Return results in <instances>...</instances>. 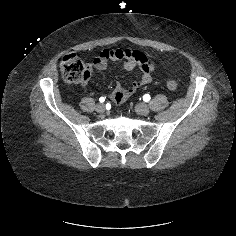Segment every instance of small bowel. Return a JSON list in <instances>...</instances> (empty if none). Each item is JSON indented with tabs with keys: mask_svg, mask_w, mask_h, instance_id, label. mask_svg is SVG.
<instances>
[{
	"mask_svg": "<svg viewBox=\"0 0 236 236\" xmlns=\"http://www.w3.org/2000/svg\"><path fill=\"white\" fill-rule=\"evenodd\" d=\"M109 61H122V68L126 71H130L137 66L141 72L140 76L127 88L123 87L120 83L116 84L111 98L118 104V94H121L123 102L140 87L149 83L155 70L154 63L145 53L132 49H104L89 62V69L91 72L104 70Z\"/></svg>",
	"mask_w": 236,
	"mask_h": 236,
	"instance_id": "1",
	"label": "small bowel"
}]
</instances>
